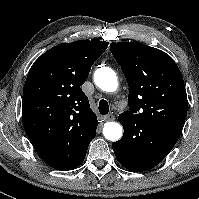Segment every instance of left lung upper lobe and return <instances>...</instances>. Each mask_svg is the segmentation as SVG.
<instances>
[{"instance_id":"left-lung-upper-lobe-1","label":"left lung upper lobe","mask_w":199,"mask_h":199,"mask_svg":"<svg viewBox=\"0 0 199 199\" xmlns=\"http://www.w3.org/2000/svg\"><path fill=\"white\" fill-rule=\"evenodd\" d=\"M110 49L129 85V111L119 118L132 117L179 138L188 102L183 77L174 60L141 43H111Z\"/></svg>"}]
</instances>
